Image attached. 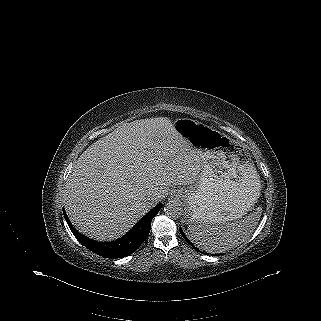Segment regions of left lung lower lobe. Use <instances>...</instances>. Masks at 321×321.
I'll list each match as a JSON object with an SVG mask.
<instances>
[{
    "instance_id": "1",
    "label": "left lung lower lobe",
    "mask_w": 321,
    "mask_h": 321,
    "mask_svg": "<svg viewBox=\"0 0 321 321\" xmlns=\"http://www.w3.org/2000/svg\"><path fill=\"white\" fill-rule=\"evenodd\" d=\"M179 231H180L182 237H183L191 246H193L196 250H198V249L188 240V238H187L186 235L183 233V231H182L181 228L179 229ZM198 251H199V250H198Z\"/></svg>"
}]
</instances>
